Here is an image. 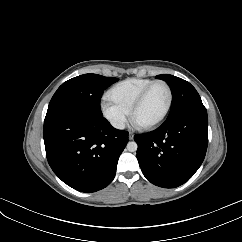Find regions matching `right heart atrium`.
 <instances>
[{"label": "right heart atrium", "instance_id": "right-heart-atrium-1", "mask_svg": "<svg viewBox=\"0 0 242 242\" xmlns=\"http://www.w3.org/2000/svg\"><path fill=\"white\" fill-rule=\"evenodd\" d=\"M101 110L103 116L116 129H123L130 118V113L127 110L114 103L108 97L102 100Z\"/></svg>", "mask_w": 242, "mask_h": 242}]
</instances>
